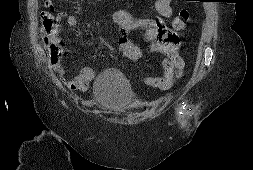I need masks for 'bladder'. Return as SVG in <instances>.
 <instances>
[{
  "label": "bladder",
  "mask_w": 253,
  "mask_h": 170,
  "mask_svg": "<svg viewBox=\"0 0 253 170\" xmlns=\"http://www.w3.org/2000/svg\"><path fill=\"white\" fill-rule=\"evenodd\" d=\"M92 96L97 107L110 114L127 111L134 91L125 75L116 69H107L96 77Z\"/></svg>",
  "instance_id": "31cf9c89"
}]
</instances>
